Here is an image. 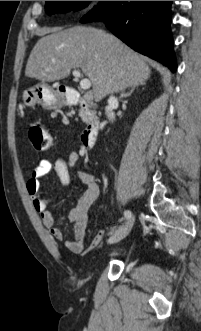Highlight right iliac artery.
Returning <instances> with one entry per match:
<instances>
[{"mask_svg":"<svg viewBox=\"0 0 201 331\" xmlns=\"http://www.w3.org/2000/svg\"><path fill=\"white\" fill-rule=\"evenodd\" d=\"M124 216H125L126 219H130V217H131V212L128 211V210L125 211V212H124Z\"/></svg>","mask_w":201,"mask_h":331,"instance_id":"1","label":"right iliac artery"}]
</instances>
